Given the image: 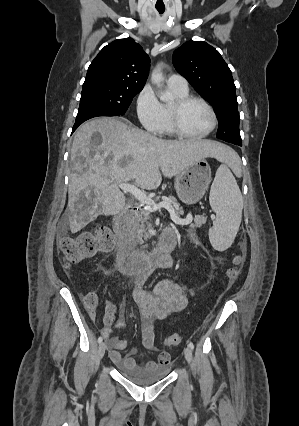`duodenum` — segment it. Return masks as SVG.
<instances>
[{
    "label": "duodenum",
    "instance_id": "obj_1",
    "mask_svg": "<svg viewBox=\"0 0 299 426\" xmlns=\"http://www.w3.org/2000/svg\"><path fill=\"white\" fill-rule=\"evenodd\" d=\"M129 210L116 215L113 228L118 236L117 267L126 275H135L150 265L155 259L168 255L176 245V236L171 228H166L160 235L158 244L151 250H140L134 246V239L129 231Z\"/></svg>",
    "mask_w": 299,
    "mask_h": 426
}]
</instances>
